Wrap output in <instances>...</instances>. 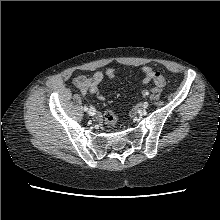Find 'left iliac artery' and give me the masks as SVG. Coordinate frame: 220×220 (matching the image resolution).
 Returning <instances> with one entry per match:
<instances>
[{
    "label": "left iliac artery",
    "mask_w": 220,
    "mask_h": 220,
    "mask_svg": "<svg viewBox=\"0 0 220 220\" xmlns=\"http://www.w3.org/2000/svg\"><path fill=\"white\" fill-rule=\"evenodd\" d=\"M143 95H149V92H148L147 90H145V91L143 92ZM144 103L147 104V105H149L148 102H144Z\"/></svg>",
    "instance_id": "obj_1"
}]
</instances>
